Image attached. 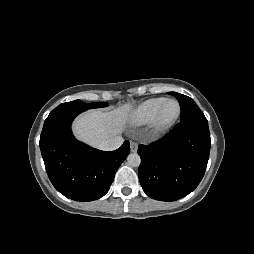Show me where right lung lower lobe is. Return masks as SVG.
Here are the masks:
<instances>
[{
  "label": "right lung lower lobe",
  "instance_id": "obj_1",
  "mask_svg": "<svg viewBox=\"0 0 254 254\" xmlns=\"http://www.w3.org/2000/svg\"><path fill=\"white\" fill-rule=\"evenodd\" d=\"M86 109L58 106L44 122L40 149L53 186L75 201H93L104 196L115 173L130 153L125 141L115 151H100L75 139L73 119Z\"/></svg>",
  "mask_w": 254,
  "mask_h": 254
}]
</instances>
